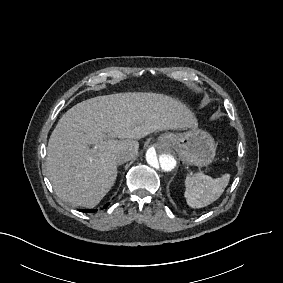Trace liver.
Returning <instances> with one entry per match:
<instances>
[{"label": "liver", "instance_id": "1", "mask_svg": "<svg viewBox=\"0 0 283 283\" xmlns=\"http://www.w3.org/2000/svg\"><path fill=\"white\" fill-rule=\"evenodd\" d=\"M197 126L185 106L162 94L88 99L68 110L51 134L46 158L49 180L61 200L94 207L115 184L120 150L138 149V140L154 132Z\"/></svg>", "mask_w": 283, "mask_h": 283}]
</instances>
